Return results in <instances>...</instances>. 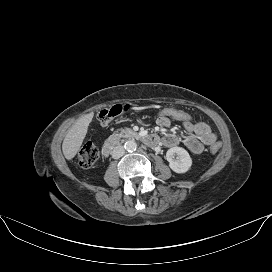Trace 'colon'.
Wrapping results in <instances>:
<instances>
[{"label": "colon", "mask_w": 272, "mask_h": 272, "mask_svg": "<svg viewBox=\"0 0 272 272\" xmlns=\"http://www.w3.org/2000/svg\"><path fill=\"white\" fill-rule=\"evenodd\" d=\"M129 110L128 105L115 104L108 106L100 110L97 114L98 120L102 124H107L116 116ZM159 117H165L168 119H174L180 122L191 121L192 116L188 112L177 108H164L158 112ZM220 149L219 143H214L210 147L211 153H217ZM99 157V151L97 147L91 143H85L79 150L77 159L78 163L83 168L91 167Z\"/></svg>", "instance_id": "obj_1"}]
</instances>
